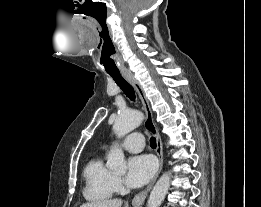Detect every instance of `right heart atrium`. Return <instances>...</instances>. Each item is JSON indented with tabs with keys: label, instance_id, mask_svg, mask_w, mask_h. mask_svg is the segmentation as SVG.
Here are the masks:
<instances>
[{
	"label": "right heart atrium",
	"instance_id": "right-heart-atrium-1",
	"mask_svg": "<svg viewBox=\"0 0 261 207\" xmlns=\"http://www.w3.org/2000/svg\"><path fill=\"white\" fill-rule=\"evenodd\" d=\"M115 189L116 190L122 189V181L118 177H115Z\"/></svg>",
	"mask_w": 261,
	"mask_h": 207
}]
</instances>
